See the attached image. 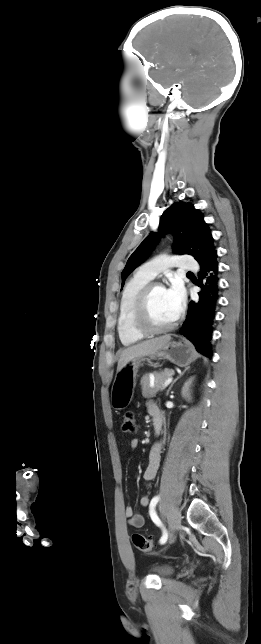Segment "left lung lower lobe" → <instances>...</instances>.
Segmentation results:
<instances>
[{
    "instance_id": "1",
    "label": "left lung lower lobe",
    "mask_w": 261,
    "mask_h": 644,
    "mask_svg": "<svg viewBox=\"0 0 261 644\" xmlns=\"http://www.w3.org/2000/svg\"><path fill=\"white\" fill-rule=\"evenodd\" d=\"M217 252L210 255L200 264L198 286L202 288L199 301L189 303L188 313L181 334L189 339L196 350L207 357H212L211 340L213 323L218 301V264Z\"/></svg>"
}]
</instances>
